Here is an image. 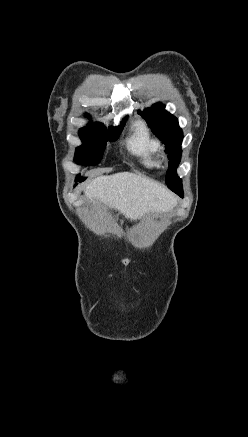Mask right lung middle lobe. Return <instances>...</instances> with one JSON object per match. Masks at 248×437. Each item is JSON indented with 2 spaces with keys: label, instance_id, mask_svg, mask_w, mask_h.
I'll list each match as a JSON object with an SVG mask.
<instances>
[{
  "label": "right lung middle lobe",
  "instance_id": "obj_1",
  "mask_svg": "<svg viewBox=\"0 0 248 437\" xmlns=\"http://www.w3.org/2000/svg\"><path fill=\"white\" fill-rule=\"evenodd\" d=\"M126 119L120 126L111 127L107 132L103 125L93 126L88 125L80 129L79 136L83 142V145L77 147L75 154V161L78 164H86L91 161L96 164L102 156L103 150L106 146L105 141H115L120 135V132L125 125ZM93 152V154H91ZM85 178L78 177L77 180L83 181Z\"/></svg>",
  "mask_w": 248,
  "mask_h": 437
}]
</instances>
